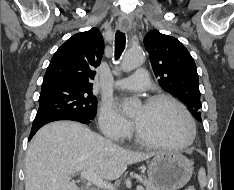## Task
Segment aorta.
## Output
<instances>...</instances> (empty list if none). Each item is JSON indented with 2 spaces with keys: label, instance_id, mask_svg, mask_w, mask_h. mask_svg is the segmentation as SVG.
<instances>
[{
  "label": "aorta",
  "instance_id": "1",
  "mask_svg": "<svg viewBox=\"0 0 234 190\" xmlns=\"http://www.w3.org/2000/svg\"><path fill=\"white\" fill-rule=\"evenodd\" d=\"M144 61V53L141 49H129L122 61H121V69L125 72L132 71L139 67ZM138 100L136 98H131L127 101L129 106H134Z\"/></svg>",
  "mask_w": 234,
  "mask_h": 190
}]
</instances>
